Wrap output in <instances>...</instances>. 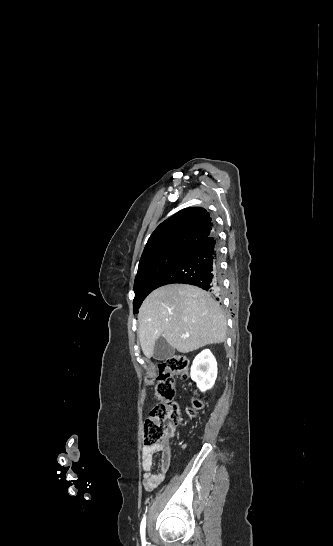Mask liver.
Here are the masks:
<instances>
[{
  "instance_id": "6515ba94",
  "label": "liver",
  "mask_w": 333,
  "mask_h": 546,
  "mask_svg": "<svg viewBox=\"0 0 333 546\" xmlns=\"http://www.w3.org/2000/svg\"><path fill=\"white\" fill-rule=\"evenodd\" d=\"M138 322L147 358L152 357L160 337L181 353L226 339L227 320L219 303L193 285L169 284L154 290L143 301Z\"/></svg>"
}]
</instances>
